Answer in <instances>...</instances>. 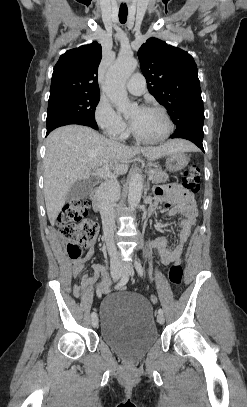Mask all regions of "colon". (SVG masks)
Instances as JSON below:
<instances>
[{"label":"colon","mask_w":247,"mask_h":407,"mask_svg":"<svg viewBox=\"0 0 247 407\" xmlns=\"http://www.w3.org/2000/svg\"><path fill=\"white\" fill-rule=\"evenodd\" d=\"M182 185L185 190L196 194L200 191V169L192 163L185 171ZM87 202L81 198H75L65 205L57 218V226L66 244L69 256L77 259L82 253V247H90L94 244L98 225L87 219ZM183 271L179 263H172L168 270V280L173 285L182 283ZM153 304L158 302L155 295L150 297Z\"/></svg>","instance_id":"colon-1"}]
</instances>
